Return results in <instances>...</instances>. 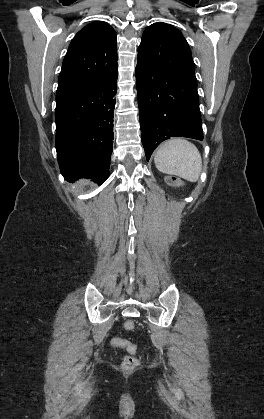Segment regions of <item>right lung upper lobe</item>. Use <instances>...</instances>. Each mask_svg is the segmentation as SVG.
<instances>
[{
	"label": "right lung upper lobe",
	"instance_id": "obj_1",
	"mask_svg": "<svg viewBox=\"0 0 264 419\" xmlns=\"http://www.w3.org/2000/svg\"><path fill=\"white\" fill-rule=\"evenodd\" d=\"M115 30L95 21L80 30L63 60L57 92H66L106 80L117 72Z\"/></svg>",
	"mask_w": 264,
	"mask_h": 419
}]
</instances>
